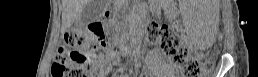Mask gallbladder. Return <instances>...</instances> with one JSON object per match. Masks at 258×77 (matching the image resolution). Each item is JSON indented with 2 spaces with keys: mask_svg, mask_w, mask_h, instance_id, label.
Segmentation results:
<instances>
[{
  "mask_svg": "<svg viewBox=\"0 0 258 77\" xmlns=\"http://www.w3.org/2000/svg\"><path fill=\"white\" fill-rule=\"evenodd\" d=\"M103 10L101 0H90L82 10L77 22L80 24H86L97 19Z\"/></svg>",
  "mask_w": 258,
  "mask_h": 77,
  "instance_id": "bac80fb5",
  "label": "gallbladder"
}]
</instances>
